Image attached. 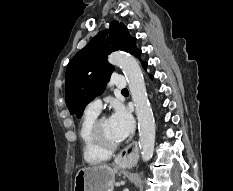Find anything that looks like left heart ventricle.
<instances>
[{
    "label": "left heart ventricle",
    "mask_w": 233,
    "mask_h": 191,
    "mask_svg": "<svg viewBox=\"0 0 233 191\" xmlns=\"http://www.w3.org/2000/svg\"><path fill=\"white\" fill-rule=\"evenodd\" d=\"M101 131L104 136V138L111 142V143H116L119 142L117 137L115 136L113 129L111 127L110 121L108 119H105L102 124H101Z\"/></svg>",
    "instance_id": "obj_1"
}]
</instances>
